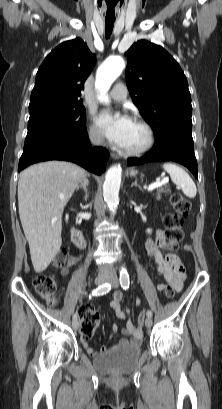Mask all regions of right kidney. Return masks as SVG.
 Instances as JSON below:
<instances>
[{
  "label": "right kidney",
  "mask_w": 222,
  "mask_h": 409,
  "mask_svg": "<svg viewBox=\"0 0 222 409\" xmlns=\"http://www.w3.org/2000/svg\"><path fill=\"white\" fill-rule=\"evenodd\" d=\"M66 220H68V215H66Z\"/></svg>",
  "instance_id": "right-kidney-1"
}]
</instances>
